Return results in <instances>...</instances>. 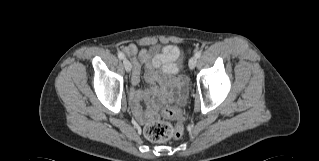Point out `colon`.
<instances>
[{
	"label": "colon",
	"instance_id": "colon-1",
	"mask_svg": "<svg viewBox=\"0 0 319 161\" xmlns=\"http://www.w3.org/2000/svg\"><path fill=\"white\" fill-rule=\"evenodd\" d=\"M163 117L176 122V126L166 121L149 124L145 128V136L152 142H164L173 138H180L183 134L184 114L176 109L167 108L162 113Z\"/></svg>",
	"mask_w": 319,
	"mask_h": 161
}]
</instances>
